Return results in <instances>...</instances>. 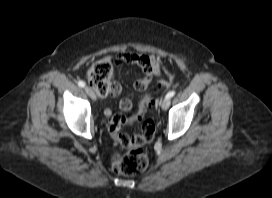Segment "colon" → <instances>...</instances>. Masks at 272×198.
Returning <instances> with one entry per match:
<instances>
[{
	"label": "colon",
	"instance_id": "1",
	"mask_svg": "<svg viewBox=\"0 0 272 198\" xmlns=\"http://www.w3.org/2000/svg\"><path fill=\"white\" fill-rule=\"evenodd\" d=\"M112 73L113 65L110 58H103L96 61L87 72V80L90 86L101 96L112 94ZM151 78L146 77L135 82L136 88L146 89ZM167 81L158 83L159 89H168ZM152 104V99L146 96L141 99L138 111L135 115L127 117L121 113L115 114L109 125L110 134L124 147L127 152L124 155L115 154L112 159V169L115 173L132 176L142 172L148 165V156L142 149L145 143L150 142L155 135L156 126L152 119L146 118V113ZM137 120L142 121L140 135L129 136L122 134L120 129L126 124H133Z\"/></svg>",
	"mask_w": 272,
	"mask_h": 198
}]
</instances>
